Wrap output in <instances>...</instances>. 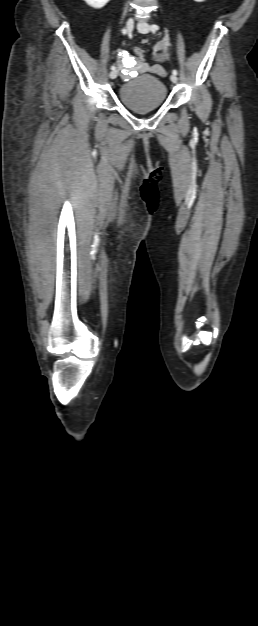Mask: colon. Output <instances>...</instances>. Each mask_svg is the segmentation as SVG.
Listing matches in <instances>:
<instances>
[{
	"instance_id": "1",
	"label": "colon",
	"mask_w": 258,
	"mask_h": 626,
	"mask_svg": "<svg viewBox=\"0 0 258 626\" xmlns=\"http://www.w3.org/2000/svg\"><path fill=\"white\" fill-rule=\"evenodd\" d=\"M134 52H135V54H136L138 57H142V56H143V51H142L140 48H135V49H134ZM159 56H160L161 58H162V57H164V55H160V54H159Z\"/></svg>"
}]
</instances>
